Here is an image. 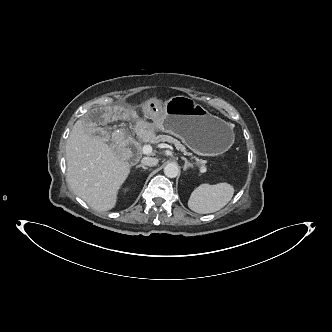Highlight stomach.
<instances>
[{
  "label": "stomach",
  "instance_id": "stomach-1",
  "mask_svg": "<svg viewBox=\"0 0 332 332\" xmlns=\"http://www.w3.org/2000/svg\"><path fill=\"white\" fill-rule=\"evenodd\" d=\"M154 124L202 155L224 153L234 142L233 128L229 123L185 96H174L166 101Z\"/></svg>",
  "mask_w": 332,
  "mask_h": 332
}]
</instances>
